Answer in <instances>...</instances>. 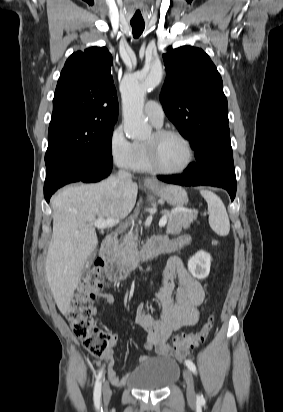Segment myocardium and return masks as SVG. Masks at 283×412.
Instances as JSON below:
<instances>
[{"label":"myocardium","instance_id":"myocardium-1","mask_svg":"<svg viewBox=\"0 0 283 412\" xmlns=\"http://www.w3.org/2000/svg\"><path fill=\"white\" fill-rule=\"evenodd\" d=\"M166 136H174V137L178 138L187 148L188 158H187L185 164L179 169L167 170V169H164V168L160 167L158 162H157V158H156L157 142H158V140H160L161 138L166 137ZM144 144H145L146 156H147L148 163H149L152 171H154L156 173L165 174V175L181 174V173H184L185 171H187L190 168V166L192 165L193 161H194L195 153H194V148H193L191 142L189 141V139L185 135H183L182 133H180L177 130L167 129V128L156 129L152 134V139L149 140V141H146Z\"/></svg>","mask_w":283,"mask_h":412}]
</instances>
